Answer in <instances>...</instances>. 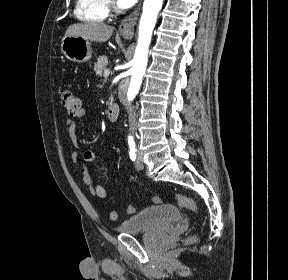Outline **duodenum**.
I'll return each mask as SVG.
<instances>
[{
    "mask_svg": "<svg viewBox=\"0 0 288 280\" xmlns=\"http://www.w3.org/2000/svg\"><path fill=\"white\" fill-rule=\"evenodd\" d=\"M120 110L118 105L113 104L107 110V118L110 122L116 123L119 119Z\"/></svg>",
    "mask_w": 288,
    "mask_h": 280,
    "instance_id": "410a0bca",
    "label": "duodenum"
}]
</instances>
